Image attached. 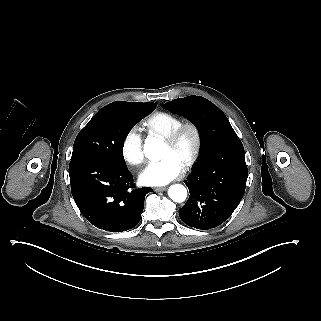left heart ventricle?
I'll return each mask as SVG.
<instances>
[{
	"mask_svg": "<svg viewBox=\"0 0 321 321\" xmlns=\"http://www.w3.org/2000/svg\"><path fill=\"white\" fill-rule=\"evenodd\" d=\"M193 141V135L187 133L181 142L179 150H173L172 147L164 141V156L174 154L181 164L184 165L185 158L192 149Z\"/></svg>",
	"mask_w": 321,
	"mask_h": 321,
	"instance_id": "b2bd125f",
	"label": "left heart ventricle"
}]
</instances>
